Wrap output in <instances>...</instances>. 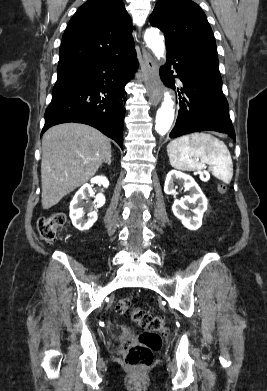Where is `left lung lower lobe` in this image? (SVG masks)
Listing matches in <instances>:
<instances>
[{
  "mask_svg": "<svg viewBox=\"0 0 267 391\" xmlns=\"http://www.w3.org/2000/svg\"><path fill=\"white\" fill-rule=\"evenodd\" d=\"M167 63L160 69L162 81L168 87L175 84L172 68L183 83V97L171 138L196 132L217 131L228 134L235 141V131L229 107L222 92L218 65L190 57L173 47H166Z\"/></svg>",
  "mask_w": 267,
  "mask_h": 391,
  "instance_id": "left-lung-lower-lobe-1",
  "label": "left lung lower lobe"
}]
</instances>
